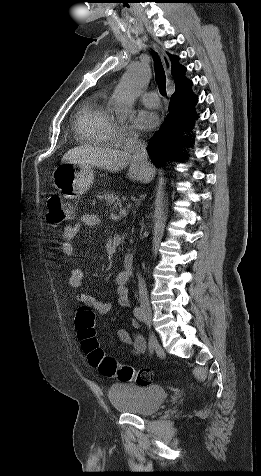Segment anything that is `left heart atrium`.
Listing matches in <instances>:
<instances>
[{"instance_id":"obj_1","label":"left heart atrium","mask_w":261,"mask_h":476,"mask_svg":"<svg viewBox=\"0 0 261 476\" xmlns=\"http://www.w3.org/2000/svg\"><path fill=\"white\" fill-rule=\"evenodd\" d=\"M134 125L141 130H151L158 125L159 118L156 113L148 110H139L133 119Z\"/></svg>"}]
</instances>
